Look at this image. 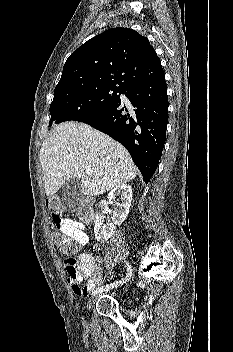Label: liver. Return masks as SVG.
Listing matches in <instances>:
<instances>
[{"instance_id": "6515ba94", "label": "liver", "mask_w": 233, "mask_h": 352, "mask_svg": "<svg viewBox=\"0 0 233 352\" xmlns=\"http://www.w3.org/2000/svg\"><path fill=\"white\" fill-rule=\"evenodd\" d=\"M45 193L53 197L63 184L81 180L82 193L97 196L136 177L128 151L108 135L77 122L55 127L40 149ZM87 168L92 174H85Z\"/></svg>"}]
</instances>
